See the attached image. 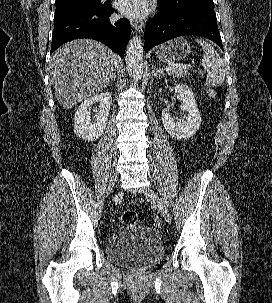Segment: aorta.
<instances>
[{
	"instance_id": "aorta-1",
	"label": "aorta",
	"mask_w": 272,
	"mask_h": 303,
	"mask_svg": "<svg viewBox=\"0 0 272 303\" xmlns=\"http://www.w3.org/2000/svg\"><path fill=\"white\" fill-rule=\"evenodd\" d=\"M125 60L129 76L137 83L143 73V44L139 36L130 39Z\"/></svg>"
}]
</instances>
